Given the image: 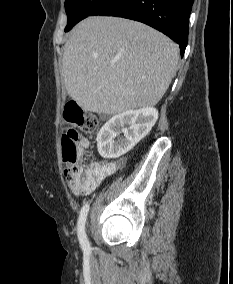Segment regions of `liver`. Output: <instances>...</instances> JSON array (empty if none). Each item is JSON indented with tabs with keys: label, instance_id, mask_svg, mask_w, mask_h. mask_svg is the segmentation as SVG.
<instances>
[{
	"label": "liver",
	"instance_id": "liver-1",
	"mask_svg": "<svg viewBox=\"0 0 233 284\" xmlns=\"http://www.w3.org/2000/svg\"><path fill=\"white\" fill-rule=\"evenodd\" d=\"M179 61L176 43L155 29L118 17H88L65 43L61 74L85 111L115 115L156 105Z\"/></svg>",
	"mask_w": 233,
	"mask_h": 284
}]
</instances>
